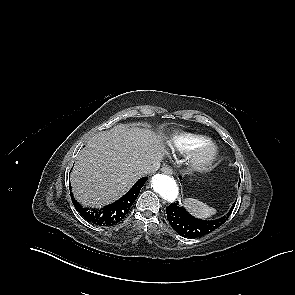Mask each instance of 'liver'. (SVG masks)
I'll use <instances>...</instances> for the list:
<instances>
[{
  "label": "liver",
  "mask_w": 295,
  "mask_h": 295,
  "mask_svg": "<svg viewBox=\"0 0 295 295\" xmlns=\"http://www.w3.org/2000/svg\"><path fill=\"white\" fill-rule=\"evenodd\" d=\"M164 145L149 129L119 124L91 137L76 157L72 191L84 206L101 207L123 196L142 176L140 171L160 163Z\"/></svg>",
  "instance_id": "1"
}]
</instances>
